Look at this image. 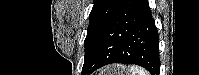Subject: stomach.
I'll return each instance as SVG.
<instances>
[{"instance_id": "stomach-1", "label": "stomach", "mask_w": 199, "mask_h": 75, "mask_svg": "<svg viewBox=\"0 0 199 75\" xmlns=\"http://www.w3.org/2000/svg\"><path fill=\"white\" fill-rule=\"evenodd\" d=\"M123 75V70L120 67L115 68L110 75Z\"/></svg>"}]
</instances>
